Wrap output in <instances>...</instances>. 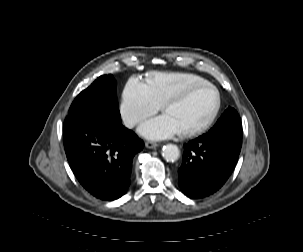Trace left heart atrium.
<instances>
[{"mask_svg": "<svg viewBox=\"0 0 303 252\" xmlns=\"http://www.w3.org/2000/svg\"><path fill=\"white\" fill-rule=\"evenodd\" d=\"M178 132V127L167 114L151 118L139 127V133L152 140L169 139Z\"/></svg>", "mask_w": 303, "mask_h": 252, "instance_id": "1", "label": "left heart atrium"}]
</instances>
